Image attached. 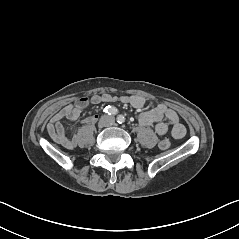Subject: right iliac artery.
<instances>
[{
	"instance_id": "1",
	"label": "right iliac artery",
	"mask_w": 239,
	"mask_h": 239,
	"mask_svg": "<svg viewBox=\"0 0 239 239\" xmlns=\"http://www.w3.org/2000/svg\"><path fill=\"white\" fill-rule=\"evenodd\" d=\"M104 112L107 113L108 115H116L118 111L114 106H107L104 109Z\"/></svg>"
}]
</instances>
